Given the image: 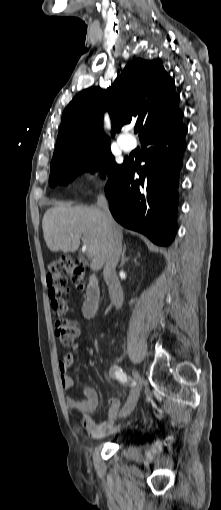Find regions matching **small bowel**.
I'll use <instances>...</instances> for the list:
<instances>
[{
	"mask_svg": "<svg viewBox=\"0 0 221 510\" xmlns=\"http://www.w3.org/2000/svg\"><path fill=\"white\" fill-rule=\"evenodd\" d=\"M82 348L81 343L73 345V351H79ZM74 361V353H66L58 363L61 386L65 391H69L74 385V379L69 373V368ZM109 408L105 414V419L97 424L91 418V414L96 411L99 405V395L94 387L87 386L83 389L82 397L79 399H67V405L70 409L78 412L82 416L83 428L92 438H101L116 431L121 424L119 423V411L121 401L118 398L108 399Z\"/></svg>",
	"mask_w": 221,
	"mask_h": 510,
	"instance_id": "c3829d8e",
	"label": "small bowel"
}]
</instances>
